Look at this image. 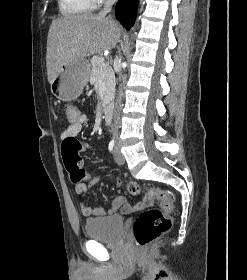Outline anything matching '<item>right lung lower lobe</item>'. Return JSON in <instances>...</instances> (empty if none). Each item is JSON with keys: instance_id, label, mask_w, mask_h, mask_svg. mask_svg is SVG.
I'll return each instance as SVG.
<instances>
[{"instance_id": "98d812e1", "label": "right lung lower lobe", "mask_w": 247, "mask_h": 280, "mask_svg": "<svg viewBox=\"0 0 247 280\" xmlns=\"http://www.w3.org/2000/svg\"><path fill=\"white\" fill-rule=\"evenodd\" d=\"M138 0H119L116 5V17L126 29H130L136 18Z\"/></svg>"}]
</instances>
